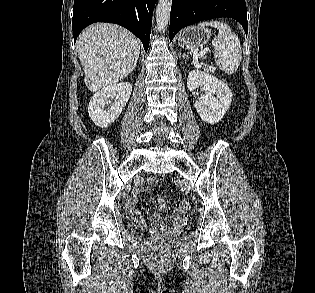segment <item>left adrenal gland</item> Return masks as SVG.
Instances as JSON below:
<instances>
[{
    "mask_svg": "<svg viewBox=\"0 0 315 293\" xmlns=\"http://www.w3.org/2000/svg\"><path fill=\"white\" fill-rule=\"evenodd\" d=\"M179 57H183L184 59L188 58L186 54H182L181 52L178 53Z\"/></svg>",
    "mask_w": 315,
    "mask_h": 293,
    "instance_id": "a2214340",
    "label": "left adrenal gland"
}]
</instances>
